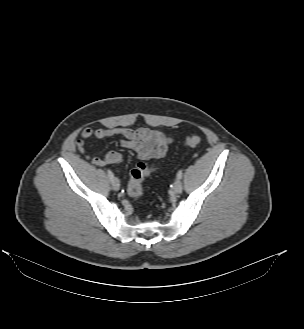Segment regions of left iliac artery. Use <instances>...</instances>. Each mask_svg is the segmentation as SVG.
Returning <instances> with one entry per match:
<instances>
[{"mask_svg":"<svg viewBox=\"0 0 304 329\" xmlns=\"http://www.w3.org/2000/svg\"><path fill=\"white\" fill-rule=\"evenodd\" d=\"M182 175H183V171L182 170H179L177 172V179H181L182 178Z\"/></svg>","mask_w":304,"mask_h":329,"instance_id":"left-iliac-artery-1","label":"left iliac artery"}]
</instances>
